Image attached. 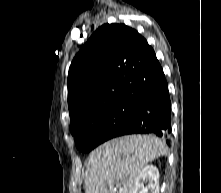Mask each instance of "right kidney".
Returning a JSON list of instances; mask_svg holds the SVG:
<instances>
[{
  "label": "right kidney",
  "mask_w": 221,
  "mask_h": 193,
  "mask_svg": "<svg viewBox=\"0 0 221 193\" xmlns=\"http://www.w3.org/2000/svg\"><path fill=\"white\" fill-rule=\"evenodd\" d=\"M132 193H159V171L156 166L148 165L141 170Z\"/></svg>",
  "instance_id": "1"
}]
</instances>
